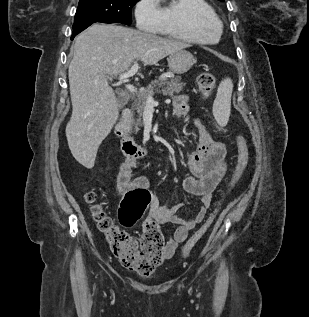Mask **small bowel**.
Wrapping results in <instances>:
<instances>
[{
    "instance_id": "c3829d8e",
    "label": "small bowel",
    "mask_w": 309,
    "mask_h": 317,
    "mask_svg": "<svg viewBox=\"0 0 309 317\" xmlns=\"http://www.w3.org/2000/svg\"><path fill=\"white\" fill-rule=\"evenodd\" d=\"M173 107L177 116H185L189 111L188 97L186 95L174 97ZM195 125L199 131V145L188 158L190 175L183 181L185 191L200 200L201 206L194 217L184 219L179 216L183 204L162 206L158 197L150 192L149 180L146 177L132 176L136 158L127 156L117 175V187L120 193L126 194L135 189H144L150 193L148 205L150 220L177 226L163 248L162 257L165 259L171 258L177 247L186 241L189 231L204 220L212 203L213 192L227 171L225 143L215 139L201 120H195Z\"/></svg>"
}]
</instances>
